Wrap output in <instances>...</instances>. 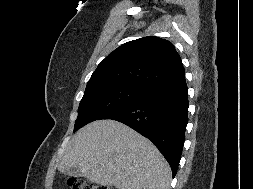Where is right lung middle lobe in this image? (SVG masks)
I'll list each match as a JSON object with an SVG mask.
<instances>
[{
  "label": "right lung middle lobe",
  "instance_id": "dd1d6c3e",
  "mask_svg": "<svg viewBox=\"0 0 253 189\" xmlns=\"http://www.w3.org/2000/svg\"><path fill=\"white\" fill-rule=\"evenodd\" d=\"M146 90L127 86H106L84 92L74 132L85 124L104 118L141 99Z\"/></svg>",
  "mask_w": 253,
  "mask_h": 189
}]
</instances>
